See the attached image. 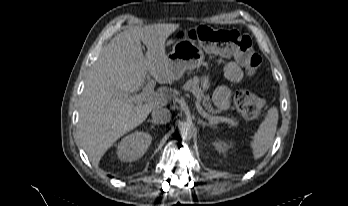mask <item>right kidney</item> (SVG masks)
Segmentation results:
<instances>
[{"mask_svg":"<svg viewBox=\"0 0 348 206\" xmlns=\"http://www.w3.org/2000/svg\"><path fill=\"white\" fill-rule=\"evenodd\" d=\"M151 141L152 137L145 132H134L127 135L118 144V158L123 162L138 160L144 155Z\"/></svg>","mask_w":348,"mask_h":206,"instance_id":"obj_1","label":"right kidney"}]
</instances>
